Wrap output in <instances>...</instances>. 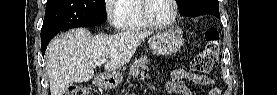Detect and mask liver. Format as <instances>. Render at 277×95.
I'll return each mask as SVG.
<instances>
[{
    "label": "liver",
    "instance_id": "6515ba94",
    "mask_svg": "<svg viewBox=\"0 0 277 95\" xmlns=\"http://www.w3.org/2000/svg\"><path fill=\"white\" fill-rule=\"evenodd\" d=\"M150 32L126 31L114 35L91 34L77 28L51 40L46 51V69L51 95H63L73 82H87L94 76L96 62L110 73L124 66Z\"/></svg>",
    "mask_w": 277,
    "mask_h": 95
}]
</instances>
